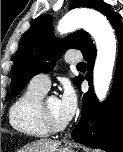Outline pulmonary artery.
<instances>
[{"instance_id": "e3ab8cb5", "label": "pulmonary artery", "mask_w": 123, "mask_h": 152, "mask_svg": "<svg viewBox=\"0 0 123 152\" xmlns=\"http://www.w3.org/2000/svg\"><path fill=\"white\" fill-rule=\"evenodd\" d=\"M65 61L70 64L79 63L81 61V55L76 52L67 53L65 56ZM30 85L41 89L43 91H47L50 87V77L47 73H40L34 76L30 82Z\"/></svg>"}]
</instances>
